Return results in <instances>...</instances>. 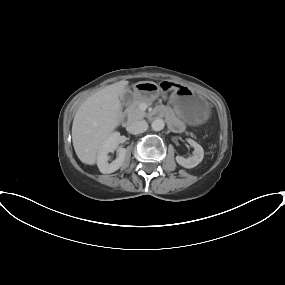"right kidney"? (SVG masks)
<instances>
[{"instance_id": "ca27d5eb", "label": "right kidney", "mask_w": 285, "mask_h": 285, "mask_svg": "<svg viewBox=\"0 0 285 285\" xmlns=\"http://www.w3.org/2000/svg\"><path fill=\"white\" fill-rule=\"evenodd\" d=\"M120 134L118 132H114L111 134L109 139L103 144L97 154V166L101 173L109 174L117 171L124 163L127 150L122 147H118L119 145ZM117 151L116 160L112 161L110 164L108 163V153Z\"/></svg>"}]
</instances>
